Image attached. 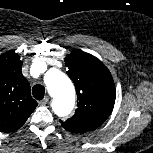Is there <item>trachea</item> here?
Segmentation results:
<instances>
[{
  "instance_id": "obj_1",
  "label": "trachea",
  "mask_w": 153,
  "mask_h": 153,
  "mask_svg": "<svg viewBox=\"0 0 153 153\" xmlns=\"http://www.w3.org/2000/svg\"><path fill=\"white\" fill-rule=\"evenodd\" d=\"M32 95L37 100L43 99L45 95V88L42 85H34L32 88Z\"/></svg>"
}]
</instances>
